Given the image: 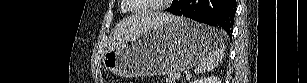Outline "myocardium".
<instances>
[{
    "mask_svg": "<svg viewBox=\"0 0 307 83\" xmlns=\"http://www.w3.org/2000/svg\"><path fill=\"white\" fill-rule=\"evenodd\" d=\"M125 1L128 2V5H127L128 10L134 11L136 13H151L155 11H160L165 8L166 6L165 4L172 2V0H161L159 4L150 5L145 8H139V7L134 6L131 0H125Z\"/></svg>",
    "mask_w": 307,
    "mask_h": 83,
    "instance_id": "obj_1",
    "label": "myocardium"
}]
</instances>
